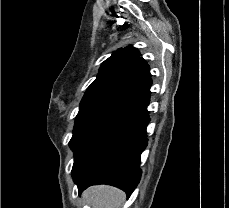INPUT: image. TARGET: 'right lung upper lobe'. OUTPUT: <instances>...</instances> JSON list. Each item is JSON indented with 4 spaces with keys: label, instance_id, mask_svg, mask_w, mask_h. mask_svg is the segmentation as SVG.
<instances>
[{
    "label": "right lung upper lobe",
    "instance_id": "right-lung-upper-lobe-1",
    "mask_svg": "<svg viewBox=\"0 0 229 208\" xmlns=\"http://www.w3.org/2000/svg\"><path fill=\"white\" fill-rule=\"evenodd\" d=\"M151 85L149 65L136 48L128 46L118 49L102 63L80 105L104 98H120L147 106Z\"/></svg>",
    "mask_w": 229,
    "mask_h": 208
}]
</instances>
